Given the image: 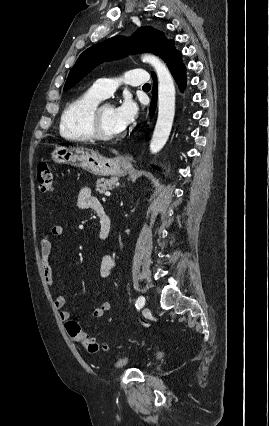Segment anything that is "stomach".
Returning a JSON list of instances; mask_svg holds the SVG:
<instances>
[{
	"instance_id": "0dacf381",
	"label": "stomach",
	"mask_w": 269,
	"mask_h": 426,
	"mask_svg": "<svg viewBox=\"0 0 269 426\" xmlns=\"http://www.w3.org/2000/svg\"><path fill=\"white\" fill-rule=\"evenodd\" d=\"M56 164H70L99 176H125L130 166L120 157L107 159L98 153L82 147L55 146L50 153Z\"/></svg>"
}]
</instances>
